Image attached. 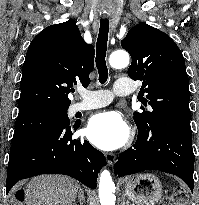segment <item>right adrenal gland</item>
Listing matches in <instances>:
<instances>
[{"label":"right adrenal gland","instance_id":"right-adrenal-gland-1","mask_svg":"<svg viewBox=\"0 0 199 205\" xmlns=\"http://www.w3.org/2000/svg\"><path fill=\"white\" fill-rule=\"evenodd\" d=\"M78 201L80 205H83V202H85L84 191L80 188H79V194H78Z\"/></svg>","mask_w":199,"mask_h":205}]
</instances>
